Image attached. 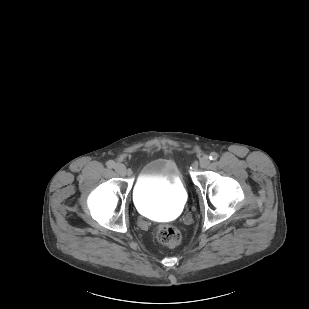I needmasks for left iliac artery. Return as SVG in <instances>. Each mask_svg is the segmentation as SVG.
I'll list each match as a JSON object with an SVG mask.
<instances>
[{
    "mask_svg": "<svg viewBox=\"0 0 309 309\" xmlns=\"http://www.w3.org/2000/svg\"><path fill=\"white\" fill-rule=\"evenodd\" d=\"M218 156H219V155H218L216 152H212V153L210 154L209 158H210V160L215 161V160L218 159Z\"/></svg>",
    "mask_w": 309,
    "mask_h": 309,
    "instance_id": "obj_1",
    "label": "left iliac artery"
}]
</instances>
